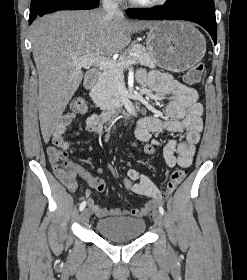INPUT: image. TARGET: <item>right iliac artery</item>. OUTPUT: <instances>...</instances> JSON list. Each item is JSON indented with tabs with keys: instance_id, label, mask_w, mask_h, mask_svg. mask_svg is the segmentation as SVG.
Masks as SVG:
<instances>
[{
	"instance_id": "1",
	"label": "right iliac artery",
	"mask_w": 247,
	"mask_h": 280,
	"mask_svg": "<svg viewBox=\"0 0 247 280\" xmlns=\"http://www.w3.org/2000/svg\"><path fill=\"white\" fill-rule=\"evenodd\" d=\"M85 207H86V202L83 201V202L80 204L79 210H80V211H83Z\"/></svg>"
}]
</instances>
